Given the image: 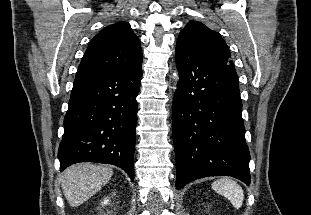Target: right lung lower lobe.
Returning <instances> with one entry per match:
<instances>
[{
  "label": "right lung lower lobe",
  "instance_id": "obj_1",
  "mask_svg": "<svg viewBox=\"0 0 311 215\" xmlns=\"http://www.w3.org/2000/svg\"><path fill=\"white\" fill-rule=\"evenodd\" d=\"M141 78V65L132 70L78 69L59 146L61 170L78 162L107 163L134 180Z\"/></svg>",
  "mask_w": 311,
  "mask_h": 215
}]
</instances>
